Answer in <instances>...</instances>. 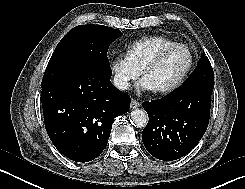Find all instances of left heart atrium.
<instances>
[{
	"mask_svg": "<svg viewBox=\"0 0 245 189\" xmlns=\"http://www.w3.org/2000/svg\"><path fill=\"white\" fill-rule=\"evenodd\" d=\"M139 88L142 91H154V89L148 84V82L144 78L139 82Z\"/></svg>",
	"mask_w": 245,
	"mask_h": 189,
	"instance_id": "obj_1",
	"label": "left heart atrium"
}]
</instances>
